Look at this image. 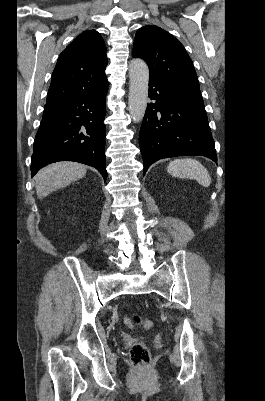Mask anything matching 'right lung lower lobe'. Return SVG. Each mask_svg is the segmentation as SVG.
Masks as SVG:
<instances>
[{
  "label": "right lung lower lobe",
  "mask_w": 265,
  "mask_h": 401,
  "mask_svg": "<svg viewBox=\"0 0 265 401\" xmlns=\"http://www.w3.org/2000/svg\"><path fill=\"white\" fill-rule=\"evenodd\" d=\"M97 92L46 105L36 134L31 175L56 161H76L96 168L106 180L105 97Z\"/></svg>",
  "instance_id": "obj_1"
}]
</instances>
